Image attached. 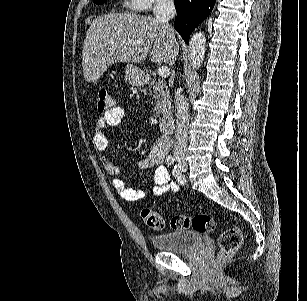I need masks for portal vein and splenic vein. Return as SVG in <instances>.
I'll use <instances>...</instances> for the list:
<instances>
[{
    "mask_svg": "<svg viewBox=\"0 0 307 301\" xmlns=\"http://www.w3.org/2000/svg\"><path fill=\"white\" fill-rule=\"evenodd\" d=\"M159 76H164V78H167L170 74V68L168 66H159L158 68Z\"/></svg>",
    "mask_w": 307,
    "mask_h": 301,
    "instance_id": "18ae733b",
    "label": "portal vein and splenic vein"
}]
</instances>
